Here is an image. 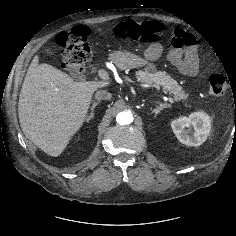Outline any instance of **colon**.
<instances>
[{
  "label": "colon",
  "instance_id": "colon-1",
  "mask_svg": "<svg viewBox=\"0 0 236 236\" xmlns=\"http://www.w3.org/2000/svg\"><path fill=\"white\" fill-rule=\"evenodd\" d=\"M164 31L158 21L127 20L116 26L118 38L138 43H155ZM90 32L86 26H76L57 36V44L63 49V67L70 71L84 73L91 61ZM209 93L213 97L223 95L227 80L222 74H212L208 79Z\"/></svg>",
  "mask_w": 236,
  "mask_h": 236
}]
</instances>
